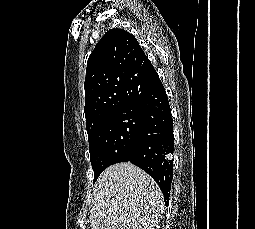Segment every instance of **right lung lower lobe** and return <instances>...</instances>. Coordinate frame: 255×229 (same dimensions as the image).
Instances as JSON below:
<instances>
[{"mask_svg": "<svg viewBox=\"0 0 255 229\" xmlns=\"http://www.w3.org/2000/svg\"><path fill=\"white\" fill-rule=\"evenodd\" d=\"M125 109L140 119L128 162L143 169L158 183L168 206L173 179V120L164 86L157 73L142 94Z\"/></svg>", "mask_w": 255, "mask_h": 229, "instance_id": "98d812e1", "label": "right lung lower lobe"}]
</instances>
